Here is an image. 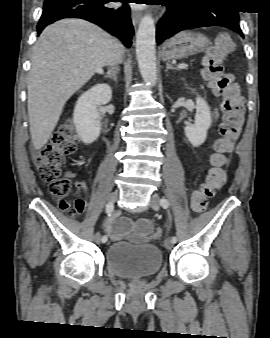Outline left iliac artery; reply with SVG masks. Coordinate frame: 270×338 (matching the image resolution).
I'll use <instances>...</instances> for the list:
<instances>
[{"label": "left iliac artery", "instance_id": "obj_1", "mask_svg": "<svg viewBox=\"0 0 270 338\" xmlns=\"http://www.w3.org/2000/svg\"><path fill=\"white\" fill-rule=\"evenodd\" d=\"M160 205L164 208V209H166V208H168L169 207V201L166 199V198H162L161 200H160ZM171 241L173 242V243H176L177 242V238L175 237V236H173L172 238H171Z\"/></svg>", "mask_w": 270, "mask_h": 338}]
</instances>
